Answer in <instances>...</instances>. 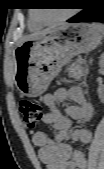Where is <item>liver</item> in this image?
<instances>
[{
    "label": "liver",
    "mask_w": 104,
    "mask_h": 169,
    "mask_svg": "<svg viewBox=\"0 0 104 169\" xmlns=\"http://www.w3.org/2000/svg\"><path fill=\"white\" fill-rule=\"evenodd\" d=\"M48 30H49V29H46V30H44V31H42V32L32 34V35L26 37L25 40H28V39L34 38V37H36V36H38V35H41V34H43L44 32H46V31H48Z\"/></svg>",
    "instance_id": "6515ba94"
}]
</instances>
